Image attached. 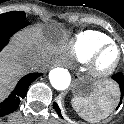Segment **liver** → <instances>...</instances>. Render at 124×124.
I'll use <instances>...</instances> for the list:
<instances>
[{"instance_id":"1","label":"liver","mask_w":124,"mask_h":124,"mask_svg":"<svg viewBox=\"0 0 124 124\" xmlns=\"http://www.w3.org/2000/svg\"><path fill=\"white\" fill-rule=\"evenodd\" d=\"M58 36L56 28L35 27L21 32L12 39L11 45L0 59V99L16 77L34 69L30 67V59L33 56H38L44 63L60 51L61 41H57Z\"/></svg>"}]
</instances>
